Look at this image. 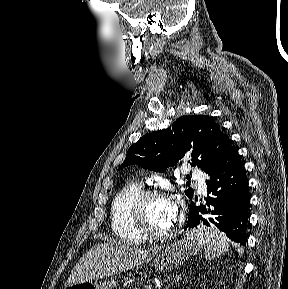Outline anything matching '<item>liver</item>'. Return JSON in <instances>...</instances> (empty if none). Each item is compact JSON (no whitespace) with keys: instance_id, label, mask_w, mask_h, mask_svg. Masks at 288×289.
<instances>
[{"instance_id":"1","label":"liver","mask_w":288,"mask_h":289,"mask_svg":"<svg viewBox=\"0 0 288 289\" xmlns=\"http://www.w3.org/2000/svg\"><path fill=\"white\" fill-rule=\"evenodd\" d=\"M160 250L161 247L137 248L116 241L95 245L74 266L65 287L130 270L149 262Z\"/></svg>"}]
</instances>
